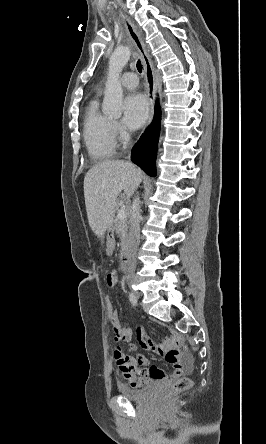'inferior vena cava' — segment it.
Segmentation results:
<instances>
[{
	"instance_id": "obj_1",
	"label": "inferior vena cava",
	"mask_w": 266,
	"mask_h": 444,
	"mask_svg": "<svg viewBox=\"0 0 266 444\" xmlns=\"http://www.w3.org/2000/svg\"><path fill=\"white\" fill-rule=\"evenodd\" d=\"M140 200L135 198L132 204L130 215V229H129V258L128 269L134 270L136 267V251L140 240Z\"/></svg>"
}]
</instances>
